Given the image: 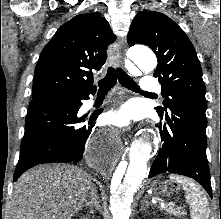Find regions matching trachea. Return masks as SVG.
Returning a JSON list of instances; mask_svg holds the SVG:
<instances>
[{
	"instance_id": "trachea-1",
	"label": "trachea",
	"mask_w": 221,
	"mask_h": 219,
	"mask_svg": "<svg viewBox=\"0 0 221 219\" xmlns=\"http://www.w3.org/2000/svg\"><path fill=\"white\" fill-rule=\"evenodd\" d=\"M117 79L121 86L135 92L146 94L121 68L115 69L113 67H109L106 76L102 80L98 81L99 91L108 92L112 87H114Z\"/></svg>"
}]
</instances>
